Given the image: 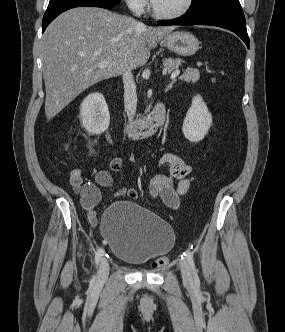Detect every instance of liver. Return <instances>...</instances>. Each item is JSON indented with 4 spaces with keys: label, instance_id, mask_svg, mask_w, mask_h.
<instances>
[{
    "label": "liver",
    "instance_id": "obj_1",
    "mask_svg": "<svg viewBox=\"0 0 285 332\" xmlns=\"http://www.w3.org/2000/svg\"><path fill=\"white\" fill-rule=\"evenodd\" d=\"M173 27H148L95 7L59 15L42 37L45 114L51 120L93 84L143 66ZM107 61L108 66L99 68Z\"/></svg>",
    "mask_w": 285,
    "mask_h": 332
}]
</instances>
